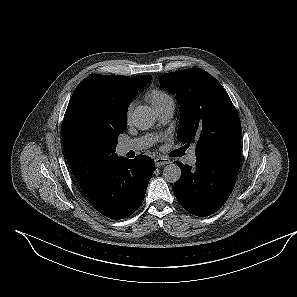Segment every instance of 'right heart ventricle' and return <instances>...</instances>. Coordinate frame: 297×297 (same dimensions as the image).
<instances>
[{
  "instance_id": "e07e8e85",
  "label": "right heart ventricle",
  "mask_w": 297,
  "mask_h": 297,
  "mask_svg": "<svg viewBox=\"0 0 297 297\" xmlns=\"http://www.w3.org/2000/svg\"><path fill=\"white\" fill-rule=\"evenodd\" d=\"M168 98H171V97L166 92L161 90H153L149 94V99L154 107L161 104Z\"/></svg>"
}]
</instances>
